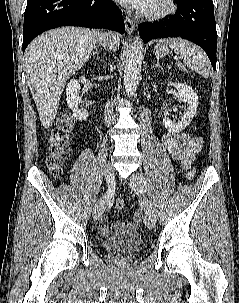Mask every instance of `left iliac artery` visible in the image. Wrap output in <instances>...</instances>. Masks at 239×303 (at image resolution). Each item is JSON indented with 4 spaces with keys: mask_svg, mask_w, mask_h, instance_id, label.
I'll use <instances>...</instances> for the list:
<instances>
[{
    "mask_svg": "<svg viewBox=\"0 0 239 303\" xmlns=\"http://www.w3.org/2000/svg\"><path fill=\"white\" fill-rule=\"evenodd\" d=\"M140 180L145 188H147V181L143 175H139ZM146 191V190H145Z\"/></svg>",
    "mask_w": 239,
    "mask_h": 303,
    "instance_id": "obj_1",
    "label": "left iliac artery"
}]
</instances>
